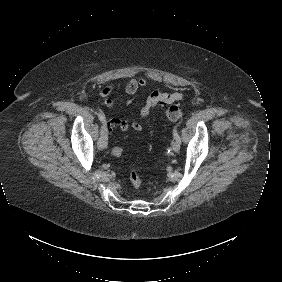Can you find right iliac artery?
<instances>
[{
    "mask_svg": "<svg viewBox=\"0 0 282 282\" xmlns=\"http://www.w3.org/2000/svg\"><path fill=\"white\" fill-rule=\"evenodd\" d=\"M98 118L100 121L105 122V115L103 112H99L98 113Z\"/></svg>",
    "mask_w": 282,
    "mask_h": 282,
    "instance_id": "obj_1",
    "label": "right iliac artery"
}]
</instances>
